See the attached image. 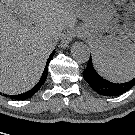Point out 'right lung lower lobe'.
<instances>
[{"label":"right lung lower lobe","instance_id":"obj_1","mask_svg":"<svg viewBox=\"0 0 135 135\" xmlns=\"http://www.w3.org/2000/svg\"><path fill=\"white\" fill-rule=\"evenodd\" d=\"M55 51H53L51 53V55L49 56L47 63H46V67L44 69V72L40 78V80L38 81V83L29 91L22 93V94H18V95H10L9 97L11 99H15V100H26L28 98H30L31 96H33L40 88L41 86L44 84V82L46 81L47 78V74H48V65L50 60L52 59L53 55H54ZM3 96H7L6 94H3Z\"/></svg>","mask_w":135,"mask_h":135}]
</instances>
